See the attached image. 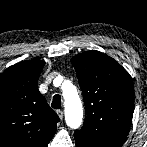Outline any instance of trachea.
Segmentation results:
<instances>
[{
	"label": "trachea",
	"instance_id": "3493384b",
	"mask_svg": "<svg viewBox=\"0 0 147 147\" xmlns=\"http://www.w3.org/2000/svg\"><path fill=\"white\" fill-rule=\"evenodd\" d=\"M51 107L54 109H60L61 107V96L60 95H54Z\"/></svg>",
	"mask_w": 147,
	"mask_h": 147
}]
</instances>
